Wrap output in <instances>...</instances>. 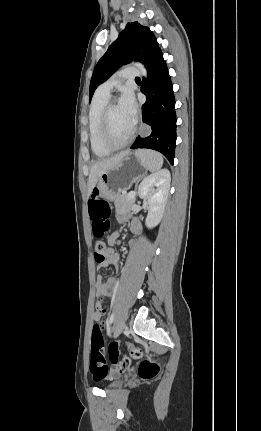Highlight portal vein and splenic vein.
<instances>
[{
  "label": "portal vein and splenic vein",
  "mask_w": 261,
  "mask_h": 431,
  "mask_svg": "<svg viewBox=\"0 0 261 431\" xmlns=\"http://www.w3.org/2000/svg\"><path fill=\"white\" fill-rule=\"evenodd\" d=\"M135 195H136V193H135L134 191L129 192V194H128V199H132V198H134V197H135Z\"/></svg>",
  "instance_id": "obj_1"
}]
</instances>
